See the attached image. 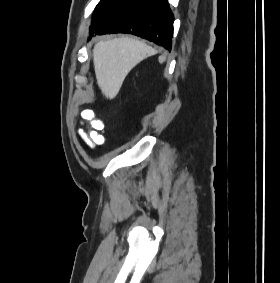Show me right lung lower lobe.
<instances>
[{
	"label": "right lung lower lobe",
	"instance_id": "1",
	"mask_svg": "<svg viewBox=\"0 0 280 283\" xmlns=\"http://www.w3.org/2000/svg\"><path fill=\"white\" fill-rule=\"evenodd\" d=\"M174 16L167 0H139L118 12L93 34L129 33L171 49Z\"/></svg>",
	"mask_w": 280,
	"mask_h": 283
}]
</instances>
